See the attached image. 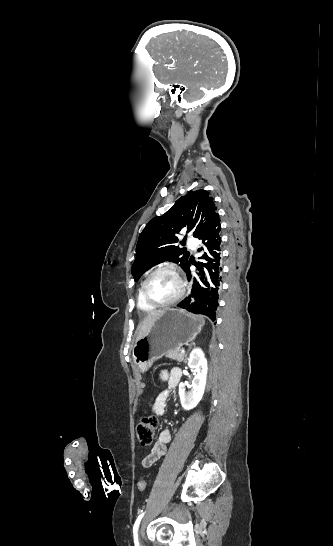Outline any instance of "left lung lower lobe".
Returning <instances> with one entry per match:
<instances>
[{"label":"left lung lower lobe","mask_w":333,"mask_h":546,"mask_svg":"<svg viewBox=\"0 0 333 546\" xmlns=\"http://www.w3.org/2000/svg\"><path fill=\"white\" fill-rule=\"evenodd\" d=\"M203 247L199 251H204L200 259V267L196 265L201 274V281L196 282L192 276L190 268L188 269V280H193L191 294L178 304V307L186 310L208 316L212 321L216 319V312L219 306L220 285H221V253H220V218L216 215L211 224L199 235Z\"/></svg>","instance_id":"left-lung-lower-lobe-1"}]
</instances>
